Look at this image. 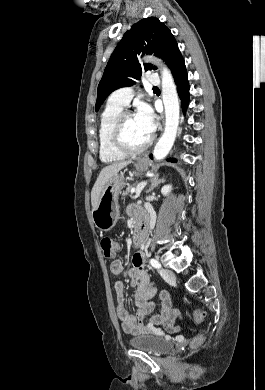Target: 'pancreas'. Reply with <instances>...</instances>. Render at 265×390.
<instances>
[{
    "label": "pancreas",
    "mask_w": 265,
    "mask_h": 390,
    "mask_svg": "<svg viewBox=\"0 0 265 390\" xmlns=\"http://www.w3.org/2000/svg\"><path fill=\"white\" fill-rule=\"evenodd\" d=\"M131 194V187H129L124 193H123V197L127 196Z\"/></svg>",
    "instance_id": "1"
}]
</instances>
